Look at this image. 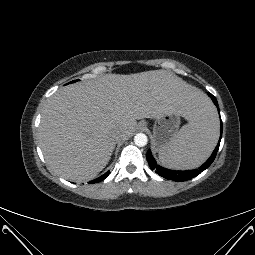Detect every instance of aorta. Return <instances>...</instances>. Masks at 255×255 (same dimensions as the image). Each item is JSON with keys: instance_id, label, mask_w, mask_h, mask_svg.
Instances as JSON below:
<instances>
[{"instance_id": "aorta-1", "label": "aorta", "mask_w": 255, "mask_h": 255, "mask_svg": "<svg viewBox=\"0 0 255 255\" xmlns=\"http://www.w3.org/2000/svg\"><path fill=\"white\" fill-rule=\"evenodd\" d=\"M148 142V138L144 133H137L134 136V143L135 145H137L138 147H143L147 144Z\"/></svg>"}]
</instances>
